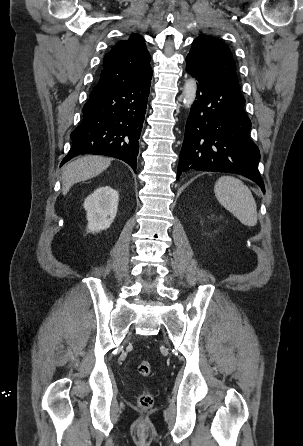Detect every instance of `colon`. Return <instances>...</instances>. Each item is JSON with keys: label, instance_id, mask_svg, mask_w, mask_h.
I'll return each instance as SVG.
<instances>
[{"label": "colon", "instance_id": "colon-1", "mask_svg": "<svg viewBox=\"0 0 303 446\" xmlns=\"http://www.w3.org/2000/svg\"><path fill=\"white\" fill-rule=\"evenodd\" d=\"M138 373L143 376H149L151 372V364L147 360L141 361L137 366ZM154 404L153 396L148 392H143L138 396V405L142 409H150Z\"/></svg>", "mask_w": 303, "mask_h": 446}]
</instances>
